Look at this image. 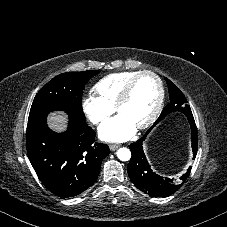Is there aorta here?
<instances>
[{"instance_id":"1","label":"aorta","mask_w":227,"mask_h":227,"mask_svg":"<svg viewBox=\"0 0 227 227\" xmlns=\"http://www.w3.org/2000/svg\"><path fill=\"white\" fill-rule=\"evenodd\" d=\"M117 157L121 160V161H128L131 158V152L128 148H120L117 151Z\"/></svg>"}]
</instances>
